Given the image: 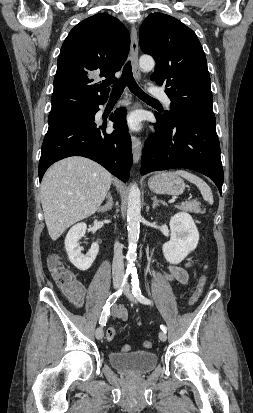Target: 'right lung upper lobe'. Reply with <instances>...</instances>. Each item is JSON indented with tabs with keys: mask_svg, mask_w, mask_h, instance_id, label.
Segmentation results:
<instances>
[{
	"mask_svg": "<svg viewBox=\"0 0 253 413\" xmlns=\"http://www.w3.org/2000/svg\"><path fill=\"white\" fill-rule=\"evenodd\" d=\"M127 28L107 13L93 15L77 24L65 39L57 61L52 108L49 117L68 114L107 100L127 57ZM99 78H104L98 82Z\"/></svg>",
	"mask_w": 253,
	"mask_h": 413,
	"instance_id": "obj_1",
	"label": "right lung upper lobe"
}]
</instances>
